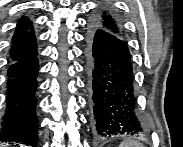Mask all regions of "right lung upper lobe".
<instances>
[{
  "instance_id": "cb5924a9",
  "label": "right lung upper lobe",
  "mask_w": 183,
  "mask_h": 147,
  "mask_svg": "<svg viewBox=\"0 0 183 147\" xmlns=\"http://www.w3.org/2000/svg\"><path fill=\"white\" fill-rule=\"evenodd\" d=\"M37 52V45L32 23L28 18L23 17L19 20L15 33L12 38L10 60L19 61L28 58Z\"/></svg>"
}]
</instances>
